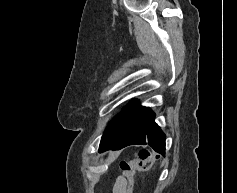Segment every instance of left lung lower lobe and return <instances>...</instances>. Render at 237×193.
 Returning a JSON list of instances; mask_svg holds the SVG:
<instances>
[{
    "label": "left lung lower lobe",
    "instance_id": "0a47b994",
    "mask_svg": "<svg viewBox=\"0 0 237 193\" xmlns=\"http://www.w3.org/2000/svg\"><path fill=\"white\" fill-rule=\"evenodd\" d=\"M154 118L155 114L148 107L137 105L119 139L112 146L100 148L99 152L142 144L151 146L156 152L165 156V134L154 122Z\"/></svg>",
    "mask_w": 237,
    "mask_h": 193
}]
</instances>
